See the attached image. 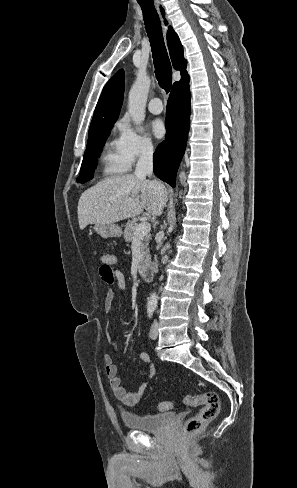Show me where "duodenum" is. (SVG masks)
Returning a JSON list of instances; mask_svg holds the SVG:
<instances>
[{
  "instance_id": "obj_1",
  "label": "duodenum",
  "mask_w": 297,
  "mask_h": 488,
  "mask_svg": "<svg viewBox=\"0 0 297 488\" xmlns=\"http://www.w3.org/2000/svg\"><path fill=\"white\" fill-rule=\"evenodd\" d=\"M140 276L146 280L150 281L153 278V267L150 263H144L139 267Z\"/></svg>"
}]
</instances>
